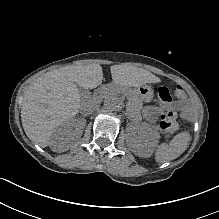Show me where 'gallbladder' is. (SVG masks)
<instances>
[{
  "mask_svg": "<svg viewBox=\"0 0 219 219\" xmlns=\"http://www.w3.org/2000/svg\"><path fill=\"white\" fill-rule=\"evenodd\" d=\"M81 92V94H83L84 96H86L88 93H87V91H80Z\"/></svg>",
  "mask_w": 219,
  "mask_h": 219,
  "instance_id": "obj_1",
  "label": "gallbladder"
}]
</instances>
